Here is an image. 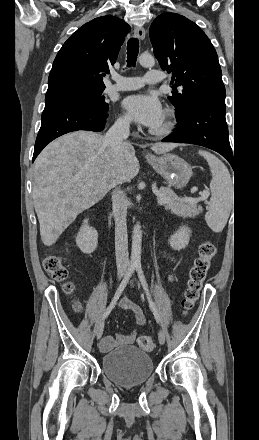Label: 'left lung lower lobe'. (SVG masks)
I'll list each match as a JSON object with an SVG mask.
<instances>
[{"label":"left lung lower lobe","mask_w":259,"mask_h":440,"mask_svg":"<svg viewBox=\"0 0 259 440\" xmlns=\"http://www.w3.org/2000/svg\"><path fill=\"white\" fill-rule=\"evenodd\" d=\"M225 113V102L212 98L199 99L190 105L184 116L176 118L178 124L175 132L162 139V142L204 146L220 153L232 165L233 154Z\"/></svg>","instance_id":"1"}]
</instances>
